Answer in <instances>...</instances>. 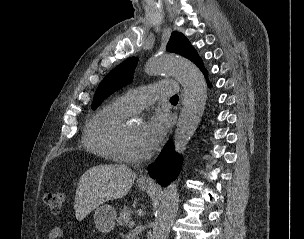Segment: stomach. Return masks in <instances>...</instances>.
<instances>
[{
  "mask_svg": "<svg viewBox=\"0 0 304 239\" xmlns=\"http://www.w3.org/2000/svg\"><path fill=\"white\" fill-rule=\"evenodd\" d=\"M144 190L149 188L148 185H140ZM116 220V210L111 205H99L95 209L94 223L95 227L102 233H108L113 230Z\"/></svg>",
  "mask_w": 304,
  "mask_h": 239,
  "instance_id": "1",
  "label": "stomach"
}]
</instances>
